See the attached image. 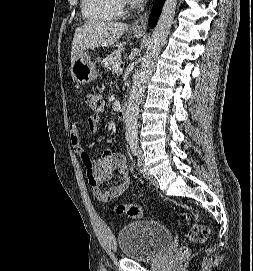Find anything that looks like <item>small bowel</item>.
Here are the masks:
<instances>
[{
	"label": "small bowel",
	"instance_id": "c3829d8e",
	"mask_svg": "<svg viewBox=\"0 0 253 271\" xmlns=\"http://www.w3.org/2000/svg\"><path fill=\"white\" fill-rule=\"evenodd\" d=\"M86 123V136L89 138L99 131L100 117L92 115L87 118ZM68 134L74 154L85 165L87 179L96 199L100 202H109L122 195L131 182L124 155L105 150L100 158L91 159L81 146L82 140L76 124H69ZM115 172L117 173L116 184L106 189L104 184L113 178Z\"/></svg>",
	"mask_w": 253,
	"mask_h": 271
}]
</instances>
